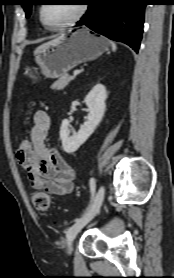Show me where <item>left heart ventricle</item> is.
Returning a JSON list of instances; mask_svg holds the SVG:
<instances>
[{
  "label": "left heart ventricle",
  "mask_w": 174,
  "mask_h": 278,
  "mask_svg": "<svg viewBox=\"0 0 174 278\" xmlns=\"http://www.w3.org/2000/svg\"><path fill=\"white\" fill-rule=\"evenodd\" d=\"M79 4H48L44 6L43 15L51 26H58L76 15Z\"/></svg>",
  "instance_id": "1"
}]
</instances>
